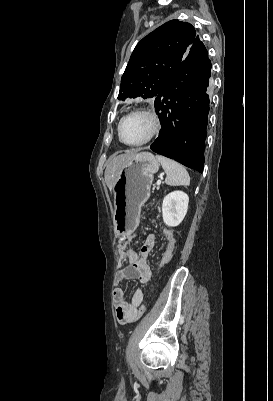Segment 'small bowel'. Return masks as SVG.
Listing matches in <instances>:
<instances>
[{
  "mask_svg": "<svg viewBox=\"0 0 273 401\" xmlns=\"http://www.w3.org/2000/svg\"><path fill=\"white\" fill-rule=\"evenodd\" d=\"M165 239L167 241V250H173L174 238L173 233L170 230L165 232ZM130 237L127 238V241ZM155 237L150 234L146 238L145 242L141 247L140 253L135 249L129 248L126 245L120 246L118 249L119 264L128 263L125 267H120L116 275V282L121 283L126 280H136L138 271H151V268L146 260L147 255L153 250L155 246ZM165 255V254H164ZM113 299L115 303L116 317L119 323H132L137 321L144 313L145 307L143 305L144 292L141 289L136 290L131 297V300L127 302L125 300L124 290L121 287H117L113 293Z\"/></svg>",
  "mask_w": 273,
  "mask_h": 401,
  "instance_id": "small-bowel-1",
  "label": "small bowel"
}]
</instances>
